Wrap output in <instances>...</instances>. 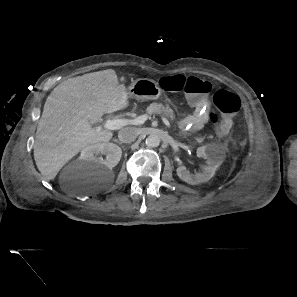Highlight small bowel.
<instances>
[{"label": "small bowel", "instance_id": "1", "mask_svg": "<svg viewBox=\"0 0 297 297\" xmlns=\"http://www.w3.org/2000/svg\"><path fill=\"white\" fill-rule=\"evenodd\" d=\"M191 102L195 111L193 114L181 119L179 127L182 129L200 130L208 121L210 104L207 99H201L198 102L191 99Z\"/></svg>", "mask_w": 297, "mask_h": 297}]
</instances>
